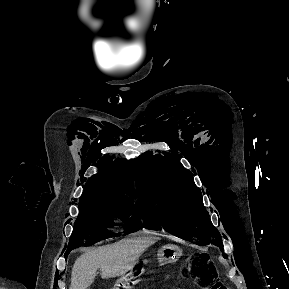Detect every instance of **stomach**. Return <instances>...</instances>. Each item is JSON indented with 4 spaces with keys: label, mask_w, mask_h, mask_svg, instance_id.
Here are the masks:
<instances>
[{
    "label": "stomach",
    "mask_w": 289,
    "mask_h": 289,
    "mask_svg": "<svg viewBox=\"0 0 289 289\" xmlns=\"http://www.w3.org/2000/svg\"><path fill=\"white\" fill-rule=\"evenodd\" d=\"M181 255L182 250L178 246L167 244L159 249L157 257L160 263L166 264L176 262ZM143 273L142 264L137 260L135 266L118 279L114 289H131Z\"/></svg>",
    "instance_id": "0dacf381"
}]
</instances>
